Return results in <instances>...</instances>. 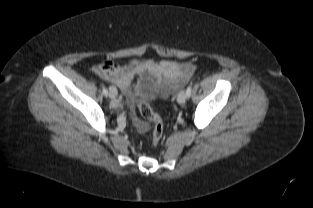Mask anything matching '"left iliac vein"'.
Here are the masks:
<instances>
[{
  "label": "left iliac vein",
  "mask_w": 313,
  "mask_h": 208,
  "mask_svg": "<svg viewBox=\"0 0 313 208\" xmlns=\"http://www.w3.org/2000/svg\"><path fill=\"white\" fill-rule=\"evenodd\" d=\"M187 99V94L184 90H182L177 96V102L179 104H184Z\"/></svg>",
  "instance_id": "obj_1"
}]
</instances>
